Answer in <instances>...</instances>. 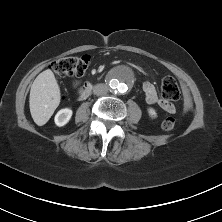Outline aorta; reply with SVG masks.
I'll list each match as a JSON object with an SVG mask.
<instances>
[{
    "instance_id": "aorta-1",
    "label": "aorta",
    "mask_w": 222,
    "mask_h": 222,
    "mask_svg": "<svg viewBox=\"0 0 222 222\" xmlns=\"http://www.w3.org/2000/svg\"><path fill=\"white\" fill-rule=\"evenodd\" d=\"M133 82L130 69L121 67L113 71L108 80L111 91L116 93H125Z\"/></svg>"
}]
</instances>
